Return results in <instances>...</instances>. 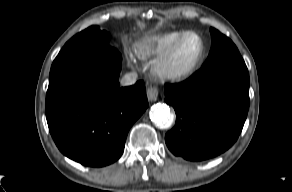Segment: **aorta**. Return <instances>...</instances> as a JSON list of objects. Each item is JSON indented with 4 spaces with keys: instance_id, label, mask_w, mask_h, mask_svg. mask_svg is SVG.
Wrapping results in <instances>:
<instances>
[{
    "instance_id": "obj_1",
    "label": "aorta",
    "mask_w": 292,
    "mask_h": 192,
    "mask_svg": "<svg viewBox=\"0 0 292 192\" xmlns=\"http://www.w3.org/2000/svg\"><path fill=\"white\" fill-rule=\"evenodd\" d=\"M149 115L151 121L161 129L169 128L172 124L170 108L164 103L154 104Z\"/></svg>"
}]
</instances>
